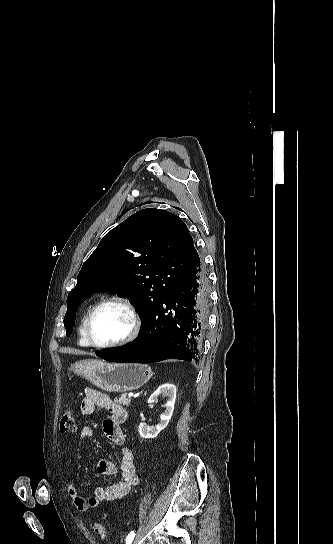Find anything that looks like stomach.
I'll return each instance as SVG.
<instances>
[{
    "mask_svg": "<svg viewBox=\"0 0 333 544\" xmlns=\"http://www.w3.org/2000/svg\"><path fill=\"white\" fill-rule=\"evenodd\" d=\"M106 392H128L139 389L151 377L148 365L138 363H107L100 360H83L69 368Z\"/></svg>",
    "mask_w": 333,
    "mask_h": 544,
    "instance_id": "0dacf381",
    "label": "stomach"
}]
</instances>
